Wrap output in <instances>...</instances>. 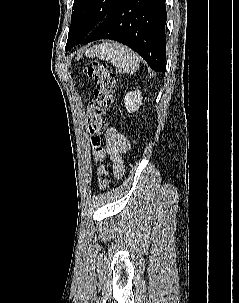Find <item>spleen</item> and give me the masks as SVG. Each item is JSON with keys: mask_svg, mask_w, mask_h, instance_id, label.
I'll return each mask as SVG.
<instances>
[{"mask_svg": "<svg viewBox=\"0 0 239 303\" xmlns=\"http://www.w3.org/2000/svg\"><path fill=\"white\" fill-rule=\"evenodd\" d=\"M86 56L110 61L124 73H134L140 63V58L134 51L117 42L95 45L86 52Z\"/></svg>", "mask_w": 239, "mask_h": 303, "instance_id": "obj_1", "label": "spleen"}]
</instances>
